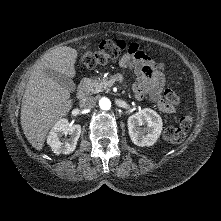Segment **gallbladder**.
<instances>
[{
    "mask_svg": "<svg viewBox=\"0 0 221 221\" xmlns=\"http://www.w3.org/2000/svg\"><path fill=\"white\" fill-rule=\"evenodd\" d=\"M45 75L48 78H51L57 81L62 87L69 91L75 90V83L73 80L62 73L52 72V71H45Z\"/></svg>",
    "mask_w": 221,
    "mask_h": 221,
    "instance_id": "bac80fb5",
    "label": "gallbladder"
}]
</instances>
